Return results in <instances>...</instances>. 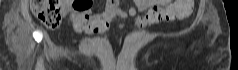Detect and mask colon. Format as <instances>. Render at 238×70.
Listing matches in <instances>:
<instances>
[{"label":"colon","instance_id":"5ec220e1","mask_svg":"<svg viewBox=\"0 0 238 70\" xmlns=\"http://www.w3.org/2000/svg\"><path fill=\"white\" fill-rule=\"evenodd\" d=\"M177 5L173 6L165 13L166 17H174L183 19L188 17L193 9V0H175ZM78 5V0L74 1ZM109 2H117L110 0ZM31 10L41 22L48 28H57L63 16L65 15V8L61 0H31Z\"/></svg>","mask_w":238,"mask_h":70}]
</instances>
